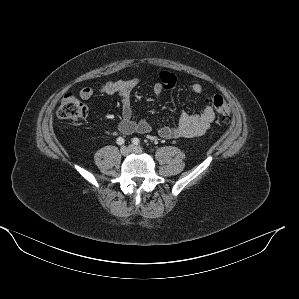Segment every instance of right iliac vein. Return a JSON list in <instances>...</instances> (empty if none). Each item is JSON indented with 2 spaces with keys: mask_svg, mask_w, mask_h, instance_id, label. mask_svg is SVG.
Masks as SVG:
<instances>
[{
  "mask_svg": "<svg viewBox=\"0 0 299 299\" xmlns=\"http://www.w3.org/2000/svg\"><path fill=\"white\" fill-rule=\"evenodd\" d=\"M120 153H121V155H123V156H128L129 153H130V149H129V147H126V146L121 147V149H120Z\"/></svg>",
  "mask_w": 299,
  "mask_h": 299,
  "instance_id": "right-iliac-vein-1",
  "label": "right iliac vein"
}]
</instances>
